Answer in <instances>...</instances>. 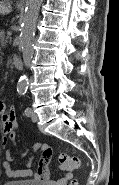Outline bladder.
I'll list each match as a JSON object with an SVG mask.
<instances>
[{"label": "bladder", "mask_w": 119, "mask_h": 185, "mask_svg": "<svg viewBox=\"0 0 119 185\" xmlns=\"http://www.w3.org/2000/svg\"><path fill=\"white\" fill-rule=\"evenodd\" d=\"M4 185H44L35 180H17V181H9Z\"/></svg>", "instance_id": "31cf9c89"}]
</instances>
